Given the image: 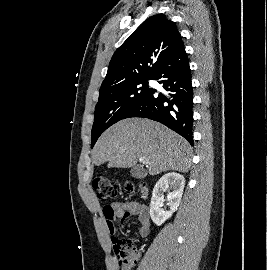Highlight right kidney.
I'll list each match as a JSON object with an SVG mask.
<instances>
[{
  "mask_svg": "<svg viewBox=\"0 0 267 270\" xmlns=\"http://www.w3.org/2000/svg\"><path fill=\"white\" fill-rule=\"evenodd\" d=\"M185 186V178L179 173H167L163 175L152 192L150 203V217L152 221L161 226L178 209ZM171 190L167 195L170 210H162L164 192Z\"/></svg>",
  "mask_w": 267,
  "mask_h": 270,
  "instance_id": "obj_1",
  "label": "right kidney"
}]
</instances>
